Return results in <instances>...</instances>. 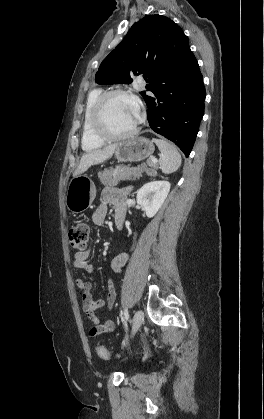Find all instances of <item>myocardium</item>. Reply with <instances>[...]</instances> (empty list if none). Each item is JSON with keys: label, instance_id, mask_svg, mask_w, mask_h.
I'll list each match as a JSON object with an SVG mask.
<instances>
[{"label": "myocardium", "instance_id": "1", "mask_svg": "<svg viewBox=\"0 0 264 419\" xmlns=\"http://www.w3.org/2000/svg\"><path fill=\"white\" fill-rule=\"evenodd\" d=\"M115 96H123L137 102L135 96L129 91L122 89H113L102 93L93 105L91 112V129L93 134L102 141H120L125 140L136 134L138 131V123L129 131L121 134L111 133L105 126L103 119V111L109 99Z\"/></svg>", "mask_w": 264, "mask_h": 419}]
</instances>
